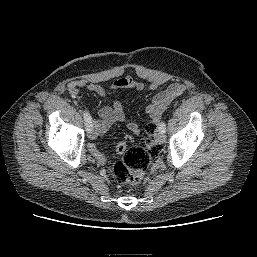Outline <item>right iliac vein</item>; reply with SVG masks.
<instances>
[{"mask_svg":"<svg viewBox=\"0 0 257 257\" xmlns=\"http://www.w3.org/2000/svg\"><path fill=\"white\" fill-rule=\"evenodd\" d=\"M88 136H89L90 139H95V138H96V135H95L94 130L91 129V130L88 132Z\"/></svg>","mask_w":257,"mask_h":257,"instance_id":"1","label":"right iliac vein"}]
</instances>
